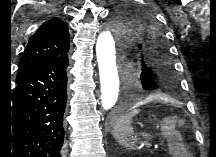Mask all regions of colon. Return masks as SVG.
Masks as SVG:
<instances>
[{
    "instance_id": "obj_1",
    "label": "colon",
    "mask_w": 216,
    "mask_h": 157,
    "mask_svg": "<svg viewBox=\"0 0 216 157\" xmlns=\"http://www.w3.org/2000/svg\"><path fill=\"white\" fill-rule=\"evenodd\" d=\"M182 125L181 121L176 117H168L163 122V127L165 131L169 134H172L176 128Z\"/></svg>"
}]
</instances>
